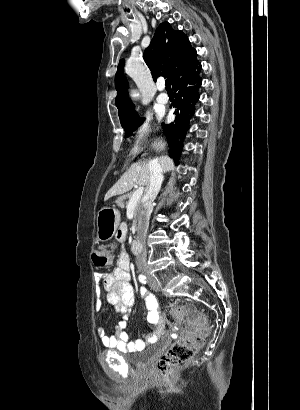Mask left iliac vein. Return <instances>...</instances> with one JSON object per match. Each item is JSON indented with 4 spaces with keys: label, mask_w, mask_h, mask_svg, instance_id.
<instances>
[{
    "label": "left iliac vein",
    "mask_w": 300,
    "mask_h": 410,
    "mask_svg": "<svg viewBox=\"0 0 300 410\" xmlns=\"http://www.w3.org/2000/svg\"><path fill=\"white\" fill-rule=\"evenodd\" d=\"M148 284L154 291H159V285L152 276H148Z\"/></svg>",
    "instance_id": "left-iliac-vein-1"
}]
</instances>
